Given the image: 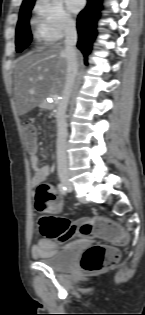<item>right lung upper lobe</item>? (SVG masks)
<instances>
[{"mask_svg": "<svg viewBox=\"0 0 145 315\" xmlns=\"http://www.w3.org/2000/svg\"><path fill=\"white\" fill-rule=\"evenodd\" d=\"M35 0H24L23 3H22V6H25V5H28L32 2H34Z\"/></svg>", "mask_w": 145, "mask_h": 315, "instance_id": "1", "label": "right lung upper lobe"}]
</instances>
